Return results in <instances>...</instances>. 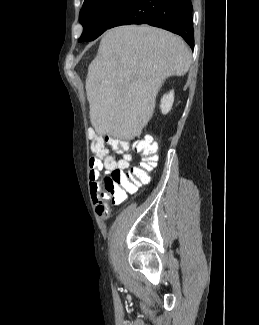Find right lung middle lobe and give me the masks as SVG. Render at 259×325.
<instances>
[{"label": "right lung middle lobe", "mask_w": 259, "mask_h": 325, "mask_svg": "<svg viewBox=\"0 0 259 325\" xmlns=\"http://www.w3.org/2000/svg\"><path fill=\"white\" fill-rule=\"evenodd\" d=\"M128 0H85L79 14L83 33L79 42L96 39L106 31Z\"/></svg>", "instance_id": "obj_1"}]
</instances>
